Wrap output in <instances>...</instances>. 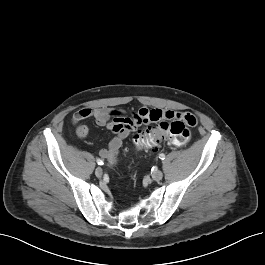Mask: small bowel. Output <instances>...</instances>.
<instances>
[{
    "label": "small bowel",
    "instance_id": "obj_1",
    "mask_svg": "<svg viewBox=\"0 0 265 265\" xmlns=\"http://www.w3.org/2000/svg\"><path fill=\"white\" fill-rule=\"evenodd\" d=\"M163 112V111H162ZM147 109H140L128 115L123 109L115 108H82L76 111L72 116L73 124L77 125L76 134L84 139L89 135V128L80 122L86 118L93 117L99 126L106 127L114 134L106 148L99 151V155L104 159H110L119 153L123 141L128 138L132 132L143 124L149 123ZM167 117L177 118L187 121L193 116L188 112L165 111ZM194 117V116H193Z\"/></svg>",
    "mask_w": 265,
    "mask_h": 265
}]
</instances>
